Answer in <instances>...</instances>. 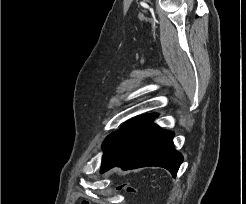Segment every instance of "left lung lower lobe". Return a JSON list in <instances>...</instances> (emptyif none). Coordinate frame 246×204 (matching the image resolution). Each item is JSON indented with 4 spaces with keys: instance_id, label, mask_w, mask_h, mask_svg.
<instances>
[{
    "instance_id": "1",
    "label": "left lung lower lobe",
    "mask_w": 246,
    "mask_h": 204,
    "mask_svg": "<svg viewBox=\"0 0 246 204\" xmlns=\"http://www.w3.org/2000/svg\"><path fill=\"white\" fill-rule=\"evenodd\" d=\"M156 117L157 114L135 117L106 137L101 173L115 166L125 170L159 166L176 176L183 157L174 149V133L152 123Z\"/></svg>"
}]
</instances>
